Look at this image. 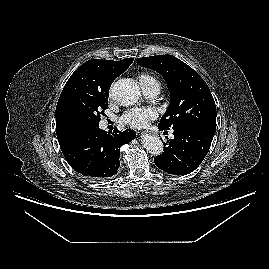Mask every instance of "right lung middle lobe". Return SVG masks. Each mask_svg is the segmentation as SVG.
I'll return each instance as SVG.
<instances>
[{"label": "right lung middle lobe", "mask_w": 269, "mask_h": 269, "mask_svg": "<svg viewBox=\"0 0 269 269\" xmlns=\"http://www.w3.org/2000/svg\"><path fill=\"white\" fill-rule=\"evenodd\" d=\"M109 90H99L85 87L81 84H71L60 95L57 110L60 119L65 124L76 127H97L108 108Z\"/></svg>", "instance_id": "right-lung-middle-lobe-1"}]
</instances>
